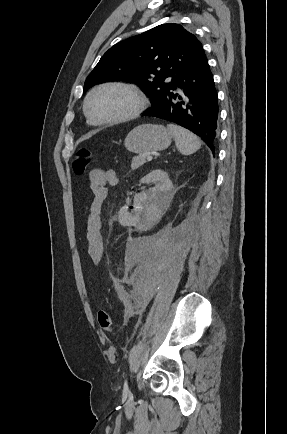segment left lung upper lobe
Returning a JSON list of instances; mask_svg holds the SVG:
<instances>
[{
	"mask_svg": "<svg viewBox=\"0 0 287 434\" xmlns=\"http://www.w3.org/2000/svg\"><path fill=\"white\" fill-rule=\"evenodd\" d=\"M204 54L197 38L179 24H162L111 47L87 77L84 93L105 81L140 84L156 105L172 81L189 63Z\"/></svg>",
	"mask_w": 287,
	"mask_h": 434,
	"instance_id": "obj_1",
	"label": "left lung upper lobe"
}]
</instances>
